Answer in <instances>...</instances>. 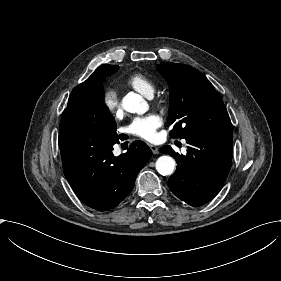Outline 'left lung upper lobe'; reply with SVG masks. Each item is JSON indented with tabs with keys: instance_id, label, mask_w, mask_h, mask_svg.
<instances>
[{
	"instance_id": "1",
	"label": "left lung upper lobe",
	"mask_w": 281,
	"mask_h": 281,
	"mask_svg": "<svg viewBox=\"0 0 281 281\" xmlns=\"http://www.w3.org/2000/svg\"><path fill=\"white\" fill-rule=\"evenodd\" d=\"M157 70L170 87L168 122L174 124L172 137L232 133L223 101L202 73L191 66L169 62H161Z\"/></svg>"
}]
</instances>
